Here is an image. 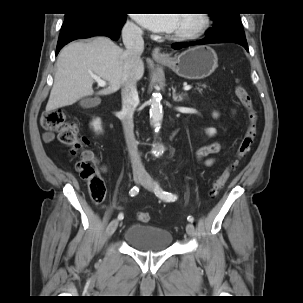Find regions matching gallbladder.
Here are the masks:
<instances>
[{
	"label": "gallbladder",
	"instance_id": "bac80fb5",
	"mask_svg": "<svg viewBox=\"0 0 303 303\" xmlns=\"http://www.w3.org/2000/svg\"><path fill=\"white\" fill-rule=\"evenodd\" d=\"M89 100H90L89 98H83V99H81L80 105H81L82 107L88 106Z\"/></svg>",
	"mask_w": 303,
	"mask_h": 303
}]
</instances>
